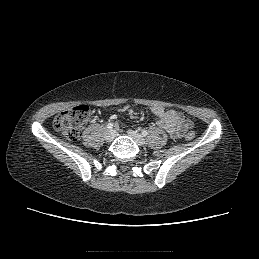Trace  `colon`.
<instances>
[{"mask_svg":"<svg viewBox=\"0 0 259 259\" xmlns=\"http://www.w3.org/2000/svg\"><path fill=\"white\" fill-rule=\"evenodd\" d=\"M90 116V108L87 105H78L60 112L54 119V128L60 132L67 140H79L83 125ZM187 140H193L195 133L189 131L186 133Z\"/></svg>","mask_w":259,"mask_h":259,"instance_id":"1","label":"colon"}]
</instances>
